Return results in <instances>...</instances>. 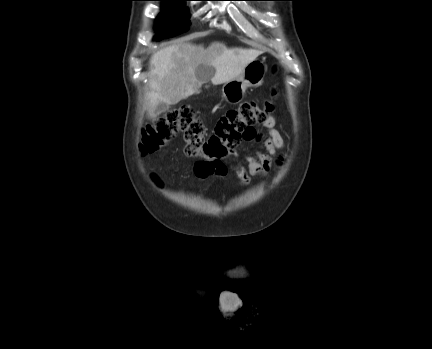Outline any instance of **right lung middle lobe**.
Instances as JSON below:
<instances>
[{"label": "right lung middle lobe", "instance_id": "obj_1", "mask_svg": "<svg viewBox=\"0 0 432 349\" xmlns=\"http://www.w3.org/2000/svg\"><path fill=\"white\" fill-rule=\"evenodd\" d=\"M163 1V12L156 22L157 36L155 40L169 38L186 32L190 23L184 20L186 11L181 1L185 0H160Z\"/></svg>", "mask_w": 432, "mask_h": 349}]
</instances>
